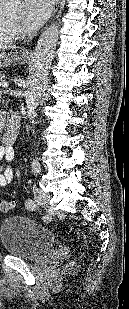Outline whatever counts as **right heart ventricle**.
<instances>
[{"mask_svg":"<svg viewBox=\"0 0 129 309\" xmlns=\"http://www.w3.org/2000/svg\"><path fill=\"white\" fill-rule=\"evenodd\" d=\"M15 38L16 34L8 24L7 17L4 15L0 6V45L10 44Z\"/></svg>","mask_w":129,"mask_h":309,"instance_id":"1","label":"right heart ventricle"}]
</instances>
